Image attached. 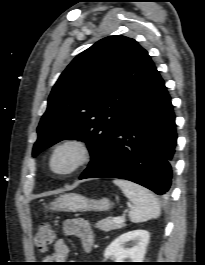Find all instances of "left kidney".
<instances>
[{"label": "left kidney", "instance_id": "left-kidney-1", "mask_svg": "<svg viewBox=\"0 0 205 265\" xmlns=\"http://www.w3.org/2000/svg\"><path fill=\"white\" fill-rule=\"evenodd\" d=\"M150 234L146 230H133L118 236L104 252L105 259L113 257L116 262H142L146 253ZM129 244V248H125Z\"/></svg>", "mask_w": 205, "mask_h": 265}]
</instances>
